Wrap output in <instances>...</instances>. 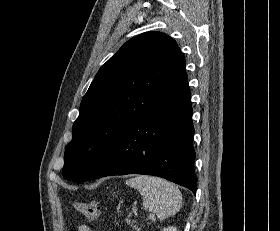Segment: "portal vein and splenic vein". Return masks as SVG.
Here are the masks:
<instances>
[{
	"label": "portal vein and splenic vein",
	"instance_id": "1",
	"mask_svg": "<svg viewBox=\"0 0 280 231\" xmlns=\"http://www.w3.org/2000/svg\"><path fill=\"white\" fill-rule=\"evenodd\" d=\"M151 219H154V213H150Z\"/></svg>",
	"mask_w": 280,
	"mask_h": 231
}]
</instances>
